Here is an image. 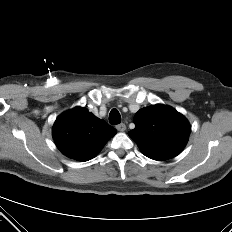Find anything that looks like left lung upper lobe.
<instances>
[{"label": "left lung upper lobe", "mask_w": 232, "mask_h": 232, "mask_svg": "<svg viewBox=\"0 0 232 232\" xmlns=\"http://www.w3.org/2000/svg\"><path fill=\"white\" fill-rule=\"evenodd\" d=\"M135 128L128 135L141 152L163 161L177 156L186 146L191 127L186 118L170 106L152 105L134 116Z\"/></svg>", "instance_id": "5c2ea615"}]
</instances>
